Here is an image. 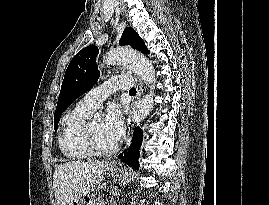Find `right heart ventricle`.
Instances as JSON below:
<instances>
[{
    "label": "right heart ventricle",
    "mask_w": 269,
    "mask_h": 205,
    "mask_svg": "<svg viewBox=\"0 0 269 205\" xmlns=\"http://www.w3.org/2000/svg\"><path fill=\"white\" fill-rule=\"evenodd\" d=\"M91 113V111L76 105L64 115L58 145L66 159L81 161L91 157L84 143V128Z\"/></svg>",
    "instance_id": "obj_1"
}]
</instances>
